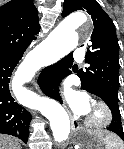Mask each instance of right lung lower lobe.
Here are the masks:
<instances>
[{
  "label": "right lung lower lobe",
  "instance_id": "right-lung-lower-lobe-1",
  "mask_svg": "<svg viewBox=\"0 0 124 149\" xmlns=\"http://www.w3.org/2000/svg\"><path fill=\"white\" fill-rule=\"evenodd\" d=\"M23 53L0 55V133L13 135L27 143L31 115L14 101L9 90L10 77Z\"/></svg>",
  "mask_w": 124,
  "mask_h": 149
}]
</instances>
